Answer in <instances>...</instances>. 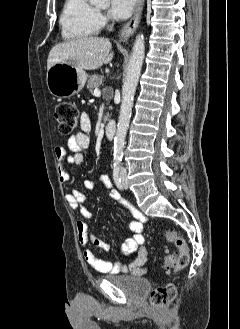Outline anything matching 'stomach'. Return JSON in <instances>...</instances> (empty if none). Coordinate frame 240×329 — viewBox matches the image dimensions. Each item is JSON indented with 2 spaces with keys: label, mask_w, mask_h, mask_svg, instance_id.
<instances>
[{
  "label": "stomach",
  "mask_w": 240,
  "mask_h": 329,
  "mask_svg": "<svg viewBox=\"0 0 240 329\" xmlns=\"http://www.w3.org/2000/svg\"><path fill=\"white\" fill-rule=\"evenodd\" d=\"M87 74L83 69L68 63H56L47 71V86L50 93L58 98H67L81 91Z\"/></svg>",
  "instance_id": "obj_1"
}]
</instances>
